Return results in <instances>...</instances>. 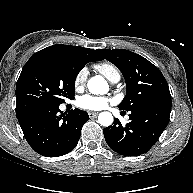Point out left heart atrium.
<instances>
[{
  "label": "left heart atrium",
  "mask_w": 193,
  "mask_h": 193,
  "mask_svg": "<svg viewBox=\"0 0 193 193\" xmlns=\"http://www.w3.org/2000/svg\"><path fill=\"white\" fill-rule=\"evenodd\" d=\"M110 99L105 96L83 95L78 98L77 105L81 109L98 111L106 108Z\"/></svg>",
  "instance_id": "39dd6f15"
}]
</instances>
